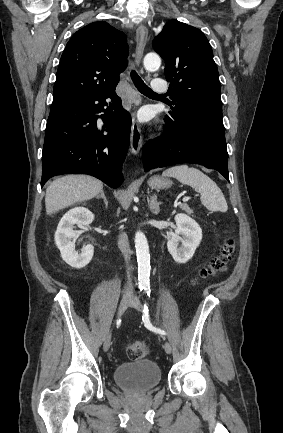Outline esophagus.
<instances>
[{
  "label": "esophagus",
  "mask_w": 283,
  "mask_h": 433,
  "mask_svg": "<svg viewBox=\"0 0 283 433\" xmlns=\"http://www.w3.org/2000/svg\"><path fill=\"white\" fill-rule=\"evenodd\" d=\"M148 38V29L144 25H140L136 31V49H135V64L137 66L140 65V62L143 58L144 48ZM131 151L134 155H136L142 146V133L139 126L138 121L135 118V115L132 117V126H131Z\"/></svg>",
  "instance_id": "esophagus-1"
}]
</instances>
